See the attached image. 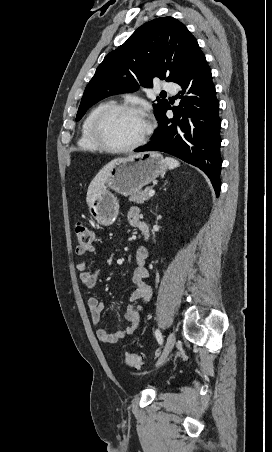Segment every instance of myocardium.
Wrapping results in <instances>:
<instances>
[{
  "label": "myocardium",
  "mask_w": 272,
  "mask_h": 452,
  "mask_svg": "<svg viewBox=\"0 0 272 452\" xmlns=\"http://www.w3.org/2000/svg\"><path fill=\"white\" fill-rule=\"evenodd\" d=\"M115 111H129L133 113L140 114L145 119V129L142 135L133 143L128 145H114L107 138L103 129V122L105 118L112 112ZM90 131L92 138L99 145V147L103 150L113 152V153H122L132 151L142 144L146 142L149 135L152 131V125L150 120L146 117V115L138 108L137 106L126 104V103H107L102 106L93 116Z\"/></svg>",
  "instance_id": "f54148a6"
}]
</instances>
